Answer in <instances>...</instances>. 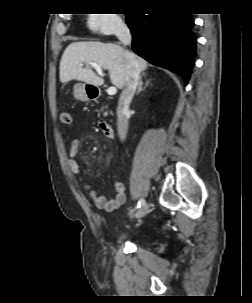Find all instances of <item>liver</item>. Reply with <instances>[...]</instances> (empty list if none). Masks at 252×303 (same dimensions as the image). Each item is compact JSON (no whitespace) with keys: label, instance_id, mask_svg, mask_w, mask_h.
<instances>
[{"label":"liver","instance_id":"obj_1","mask_svg":"<svg viewBox=\"0 0 252 303\" xmlns=\"http://www.w3.org/2000/svg\"><path fill=\"white\" fill-rule=\"evenodd\" d=\"M131 55L137 61L140 71L147 69L144 59L133 53ZM90 63H97L108 70L113 85L119 89L125 87L126 51L116 44L94 41L73 42L65 49L60 61V82L78 80L101 86L104 81L94 73Z\"/></svg>","mask_w":252,"mask_h":303}]
</instances>
